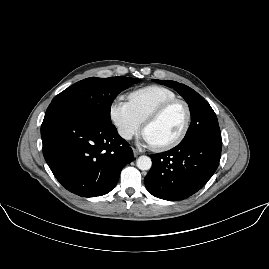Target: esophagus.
<instances>
[{"label":"esophagus","instance_id":"esophagus-1","mask_svg":"<svg viewBox=\"0 0 269 269\" xmlns=\"http://www.w3.org/2000/svg\"><path fill=\"white\" fill-rule=\"evenodd\" d=\"M133 151H134V157H137L138 155L141 154V153H140L138 150H136V149H133Z\"/></svg>","mask_w":269,"mask_h":269}]
</instances>
